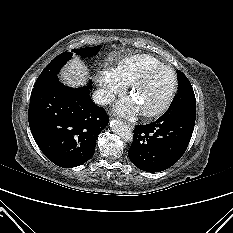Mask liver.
I'll list each match as a JSON object with an SVG mask.
<instances>
[{
	"instance_id": "1",
	"label": "liver",
	"mask_w": 233,
	"mask_h": 233,
	"mask_svg": "<svg viewBox=\"0 0 233 233\" xmlns=\"http://www.w3.org/2000/svg\"><path fill=\"white\" fill-rule=\"evenodd\" d=\"M87 70L85 65L77 58L73 59L66 70L61 74L62 80L69 86L83 85L86 81Z\"/></svg>"
}]
</instances>
